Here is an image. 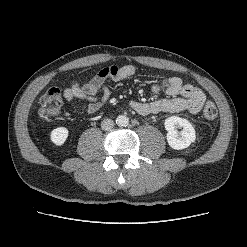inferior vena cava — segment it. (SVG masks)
Returning a JSON list of instances; mask_svg holds the SVG:
<instances>
[{
	"label": "inferior vena cava",
	"instance_id": "inferior-vena-cava-1",
	"mask_svg": "<svg viewBox=\"0 0 247 247\" xmlns=\"http://www.w3.org/2000/svg\"><path fill=\"white\" fill-rule=\"evenodd\" d=\"M113 127H114V122H113V120H111V119H104V120L101 122V128H102V130H104V131H109V130H111Z\"/></svg>",
	"mask_w": 247,
	"mask_h": 247
}]
</instances>
